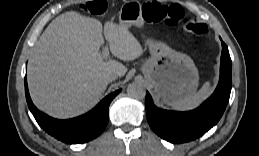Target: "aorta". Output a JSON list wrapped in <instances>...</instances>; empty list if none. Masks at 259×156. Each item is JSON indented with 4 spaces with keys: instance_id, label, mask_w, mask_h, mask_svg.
Here are the masks:
<instances>
[{
    "instance_id": "1",
    "label": "aorta",
    "mask_w": 259,
    "mask_h": 156,
    "mask_svg": "<svg viewBox=\"0 0 259 156\" xmlns=\"http://www.w3.org/2000/svg\"><path fill=\"white\" fill-rule=\"evenodd\" d=\"M127 93L130 97L141 100L145 98L146 92L140 83H131L127 87Z\"/></svg>"
}]
</instances>
